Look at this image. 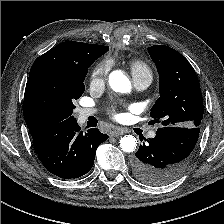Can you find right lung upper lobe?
<instances>
[{"mask_svg":"<svg viewBox=\"0 0 224 224\" xmlns=\"http://www.w3.org/2000/svg\"><path fill=\"white\" fill-rule=\"evenodd\" d=\"M108 46L67 41L60 43L41 55L32 65L30 73L44 68L69 70L92 64L107 52ZM34 136L41 130H29Z\"/></svg>","mask_w":224,"mask_h":224,"instance_id":"obj_1","label":"right lung upper lobe"}]
</instances>
